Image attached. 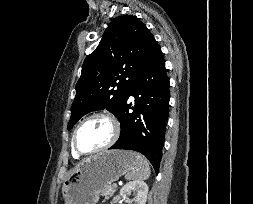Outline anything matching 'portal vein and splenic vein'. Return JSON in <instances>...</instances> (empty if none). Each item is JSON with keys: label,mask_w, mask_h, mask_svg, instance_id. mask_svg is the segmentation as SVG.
I'll return each mask as SVG.
<instances>
[{"label": "portal vein and splenic vein", "mask_w": 253, "mask_h": 204, "mask_svg": "<svg viewBox=\"0 0 253 204\" xmlns=\"http://www.w3.org/2000/svg\"><path fill=\"white\" fill-rule=\"evenodd\" d=\"M113 187H114V188H116V187H117V184H116V183H114V184H113Z\"/></svg>", "instance_id": "obj_1"}]
</instances>
